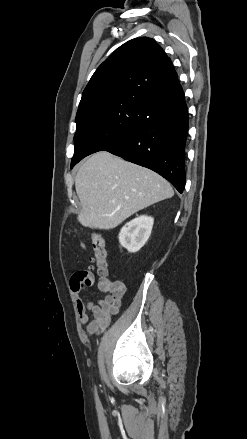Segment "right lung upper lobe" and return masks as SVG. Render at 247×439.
Here are the masks:
<instances>
[{"label": "right lung upper lobe", "instance_id": "cb5924a9", "mask_svg": "<svg viewBox=\"0 0 247 439\" xmlns=\"http://www.w3.org/2000/svg\"><path fill=\"white\" fill-rule=\"evenodd\" d=\"M183 94L170 58L148 37L116 49L95 71L83 91L81 113L113 100H129L152 110Z\"/></svg>", "mask_w": 247, "mask_h": 439}]
</instances>
